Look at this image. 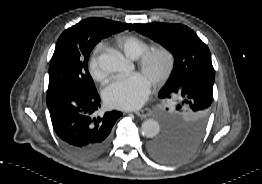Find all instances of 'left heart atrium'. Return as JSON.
I'll return each instance as SVG.
<instances>
[{
    "label": "left heart atrium",
    "instance_id": "39dd6f15",
    "mask_svg": "<svg viewBox=\"0 0 262 184\" xmlns=\"http://www.w3.org/2000/svg\"><path fill=\"white\" fill-rule=\"evenodd\" d=\"M150 80L144 74H135L114 82L105 92V100L111 107L132 109L147 98Z\"/></svg>",
    "mask_w": 262,
    "mask_h": 184
}]
</instances>
